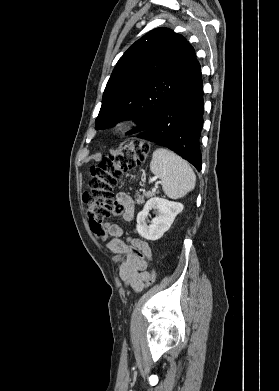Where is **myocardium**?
Masks as SVG:
<instances>
[{
	"label": "myocardium",
	"instance_id": "f54148a6",
	"mask_svg": "<svg viewBox=\"0 0 279 391\" xmlns=\"http://www.w3.org/2000/svg\"><path fill=\"white\" fill-rule=\"evenodd\" d=\"M131 127V121L121 120L115 124V130L119 133L126 132Z\"/></svg>",
	"mask_w": 279,
	"mask_h": 391
}]
</instances>
